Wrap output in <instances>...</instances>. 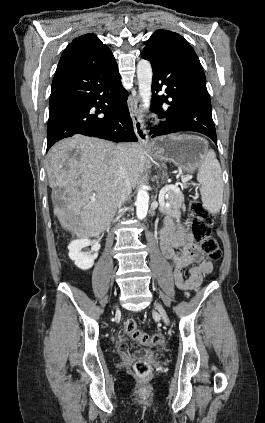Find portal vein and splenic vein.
Returning a JSON list of instances; mask_svg holds the SVG:
<instances>
[{"label":"portal vein and splenic vein","instance_id":"1","mask_svg":"<svg viewBox=\"0 0 265 423\" xmlns=\"http://www.w3.org/2000/svg\"><path fill=\"white\" fill-rule=\"evenodd\" d=\"M190 179H191V176L184 177L182 179V182H187ZM169 190L179 191V188L176 185L169 184V185L164 186L160 190L158 201H159L160 206H162V207L165 206V205L166 206L169 205L168 203H165V199H166L165 195ZM91 202H95V198H91Z\"/></svg>","mask_w":265,"mask_h":423}]
</instances>
